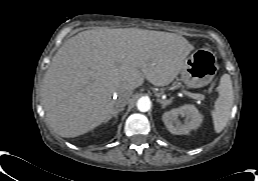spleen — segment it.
Masks as SVG:
<instances>
[{
    "label": "spleen",
    "mask_w": 258,
    "mask_h": 181,
    "mask_svg": "<svg viewBox=\"0 0 258 181\" xmlns=\"http://www.w3.org/2000/svg\"><path fill=\"white\" fill-rule=\"evenodd\" d=\"M218 92L219 96L215 101L214 110L211 112L216 133H220L225 128L233 107L234 94L230 75H222Z\"/></svg>",
    "instance_id": "1"
}]
</instances>
